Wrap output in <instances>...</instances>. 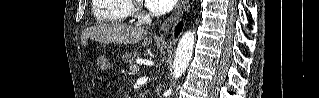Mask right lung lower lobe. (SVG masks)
<instances>
[{
    "label": "right lung lower lobe",
    "mask_w": 319,
    "mask_h": 98,
    "mask_svg": "<svg viewBox=\"0 0 319 98\" xmlns=\"http://www.w3.org/2000/svg\"><path fill=\"white\" fill-rule=\"evenodd\" d=\"M181 28H182V24H180V25L177 27L176 32H180Z\"/></svg>",
    "instance_id": "1"
}]
</instances>
